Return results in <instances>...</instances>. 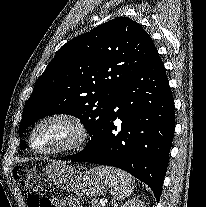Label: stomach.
<instances>
[{
  "mask_svg": "<svg viewBox=\"0 0 206 207\" xmlns=\"http://www.w3.org/2000/svg\"><path fill=\"white\" fill-rule=\"evenodd\" d=\"M44 171L48 179L62 190L91 197L104 194L103 181L84 166L51 162L46 165Z\"/></svg>",
  "mask_w": 206,
  "mask_h": 207,
  "instance_id": "stomach-1",
  "label": "stomach"
}]
</instances>
